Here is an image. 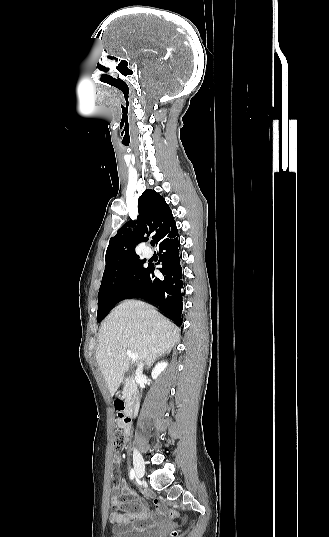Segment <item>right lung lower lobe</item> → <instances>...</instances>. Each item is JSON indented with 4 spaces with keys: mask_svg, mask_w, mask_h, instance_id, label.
Returning a JSON list of instances; mask_svg holds the SVG:
<instances>
[{
    "mask_svg": "<svg viewBox=\"0 0 329 537\" xmlns=\"http://www.w3.org/2000/svg\"><path fill=\"white\" fill-rule=\"evenodd\" d=\"M178 230H174L159 243V262L162 277L154 275V265L149 264L128 298H142L159 307L160 311L178 326L183 320L184 275L179 253Z\"/></svg>",
    "mask_w": 329,
    "mask_h": 537,
    "instance_id": "obj_1",
    "label": "right lung lower lobe"
}]
</instances>
